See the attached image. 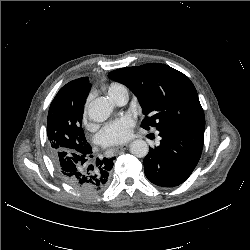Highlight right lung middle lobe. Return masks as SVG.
I'll use <instances>...</instances> for the list:
<instances>
[{"label":"right lung middle lobe","mask_w":250,"mask_h":250,"mask_svg":"<svg viewBox=\"0 0 250 250\" xmlns=\"http://www.w3.org/2000/svg\"><path fill=\"white\" fill-rule=\"evenodd\" d=\"M85 102L73 108L60 98L52 101L47 120V137L51 157L59 152L81 153L90 145L82 129Z\"/></svg>","instance_id":"1"}]
</instances>
